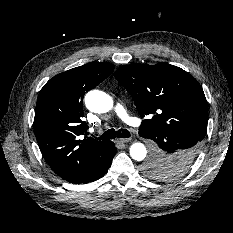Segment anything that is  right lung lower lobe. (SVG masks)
Here are the masks:
<instances>
[{"label":"right lung lower lobe","instance_id":"1","mask_svg":"<svg viewBox=\"0 0 233 233\" xmlns=\"http://www.w3.org/2000/svg\"><path fill=\"white\" fill-rule=\"evenodd\" d=\"M116 154L114 143L109 141L100 151L86 157L80 164L71 168L61 178L70 183H89L101 178L109 169Z\"/></svg>","mask_w":233,"mask_h":233}]
</instances>
